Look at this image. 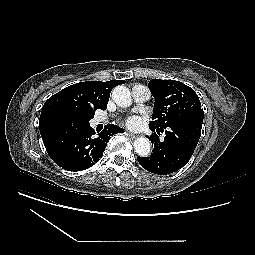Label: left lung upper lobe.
<instances>
[{"instance_id":"left-lung-upper-lobe-1","label":"left lung upper lobe","mask_w":255,"mask_h":255,"mask_svg":"<svg viewBox=\"0 0 255 255\" xmlns=\"http://www.w3.org/2000/svg\"><path fill=\"white\" fill-rule=\"evenodd\" d=\"M148 86L155 98L153 126L166 128L175 121L186 120L203 112L195 91L182 82L152 79Z\"/></svg>"}]
</instances>
